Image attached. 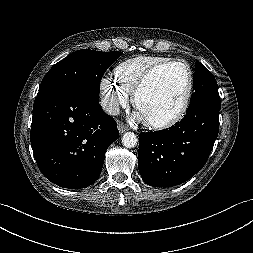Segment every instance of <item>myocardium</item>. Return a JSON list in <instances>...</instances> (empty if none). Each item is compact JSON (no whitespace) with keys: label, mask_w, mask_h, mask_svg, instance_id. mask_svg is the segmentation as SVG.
I'll return each mask as SVG.
<instances>
[{"label":"myocardium","mask_w":253,"mask_h":253,"mask_svg":"<svg viewBox=\"0 0 253 253\" xmlns=\"http://www.w3.org/2000/svg\"><path fill=\"white\" fill-rule=\"evenodd\" d=\"M182 66L187 73V88L186 92L183 98L182 105L178 112L174 114L172 117L161 120V121H145L146 125H148L151 128L154 129H166L170 128L176 124H178L186 115L188 112L192 94H193V89H194V73L192 70V67L190 64L183 60V59H170L168 61L159 63L157 65H154L151 67L148 71L145 72V74L141 77L137 85L135 86L133 93H132V103L134 106H136L138 97L142 90L148 85V83L151 81V79L162 69H165L170 66Z\"/></svg>","instance_id":"1"}]
</instances>
